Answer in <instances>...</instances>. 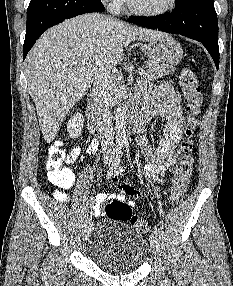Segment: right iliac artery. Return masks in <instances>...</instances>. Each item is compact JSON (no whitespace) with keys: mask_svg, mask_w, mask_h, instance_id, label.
I'll list each match as a JSON object with an SVG mask.
<instances>
[{"mask_svg":"<svg viewBox=\"0 0 233 286\" xmlns=\"http://www.w3.org/2000/svg\"><path fill=\"white\" fill-rule=\"evenodd\" d=\"M121 154H122V147L117 146L114 152L113 160L111 162L110 170L108 171L107 174V179H109L116 172L121 160ZM89 222H90V217L87 216L84 219L83 226L86 227Z\"/></svg>","mask_w":233,"mask_h":286,"instance_id":"obj_1","label":"right iliac artery"}]
</instances>
